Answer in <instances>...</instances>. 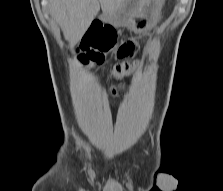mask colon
Segmentation results:
<instances>
[{"instance_id": "5ec220e1", "label": "colon", "mask_w": 223, "mask_h": 191, "mask_svg": "<svg viewBox=\"0 0 223 191\" xmlns=\"http://www.w3.org/2000/svg\"><path fill=\"white\" fill-rule=\"evenodd\" d=\"M116 44V33L112 27L94 26L81 41L82 53L79 55V60L85 64H101L103 52ZM134 50L135 46L132 41H122L118 44L116 56L120 61L111 69L113 77L123 78L138 66V61L134 59Z\"/></svg>"}]
</instances>
